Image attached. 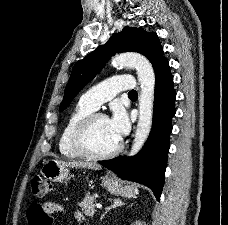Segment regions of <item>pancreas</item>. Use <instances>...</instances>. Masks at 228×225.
<instances>
[{
  "label": "pancreas",
  "mask_w": 228,
  "mask_h": 225,
  "mask_svg": "<svg viewBox=\"0 0 228 225\" xmlns=\"http://www.w3.org/2000/svg\"><path fill=\"white\" fill-rule=\"evenodd\" d=\"M94 203H96V197H91L90 193H87L85 199H83L82 203H78V205L86 217H93L95 215Z\"/></svg>",
  "instance_id": "obj_1"
}]
</instances>
